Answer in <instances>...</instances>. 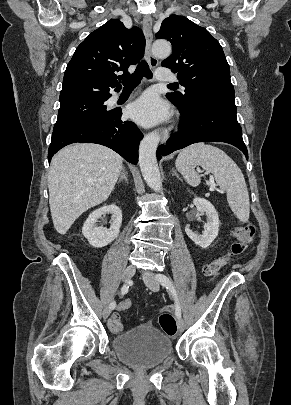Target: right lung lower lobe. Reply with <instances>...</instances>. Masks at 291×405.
<instances>
[{
  "label": "right lung lower lobe",
  "mask_w": 291,
  "mask_h": 405,
  "mask_svg": "<svg viewBox=\"0 0 291 405\" xmlns=\"http://www.w3.org/2000/svg\"><path fill=\"white\" fill-rule=\"evenodd\" d=\"M121 110L75 122L53 131L48 160L64 146L76 143H96L107 146L128 162L138 163V145L143 137L137 126L121 120Z\"/></svg>",
  "instance_id": "obj_1"
}]
</instances>
